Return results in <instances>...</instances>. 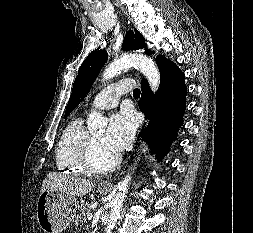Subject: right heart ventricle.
<instances>
[{
    "mask_svg": "<svg viewBox=\"0 0 253 233\" xmlns=\"http://www.w3.org/2000/svg\"><path fill=\"white\" fill-rule=\"evenodd\" d=\"M89 132L85 129L83 119H73L63 130L55 151L57 169L70 175L87 174L89 171L81 163V153Z\"/></svg>",
    "mask_w": 253,
    "mask_h": 233,
    "instance_id": "1",
    "label": "right heart ventricle"
}]
</instances>
